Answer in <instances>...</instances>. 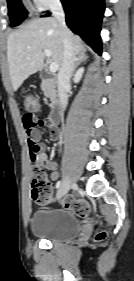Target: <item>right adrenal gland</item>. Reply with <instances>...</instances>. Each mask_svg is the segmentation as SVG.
<instances>
[{
	"instance_id": "2a0ac1e0",
	"label": "right adrenal gland",
	"mask_w": 134,
	"mask_h": 281,
	"mask_svg": "<svg viewBox=\"0 0 134 281\" xmlns=\"http://www.w3.org/2000/svg\"><path fill=\"white\" fill-rule=\"evenodd\" d=\"M88 58H89V56L86 54V51L80 52V53L78 54L77 58H76L75 67H74L73 73L76 71L77 67H78L82 62H85Z\"/></svg>"
}]
</instances>
